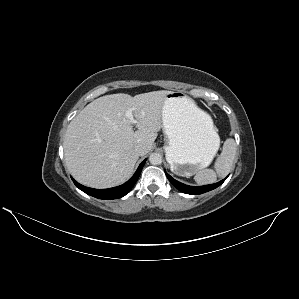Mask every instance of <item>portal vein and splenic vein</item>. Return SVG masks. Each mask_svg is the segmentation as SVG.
Returning <instances> with one entry per match:
<instances>
[{
	"mask_svg": "<svg viewBox=\"0 0 299 299\" xmlns=\"http://www.w3.org/2000/svg\"><path fill=\"white\" fill-rule=\"evenodd\" d=\"M125 116L130 120V122L132 124H135L137 123V121L134 119L133 117V113H132V109H128L126 112H125Z\"/></svg>",
	"mask_w": 299,
	"mask_h": 299,
	"instance_id": "18ae733b",
	"label": "portal vein and splenic vein"
}]
</instances>
